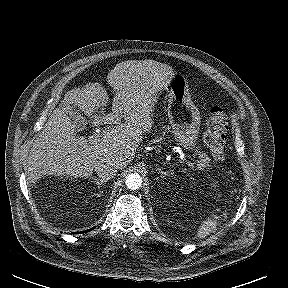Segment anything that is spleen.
<instances>
[{"instance_id": "spleen-1", "label": "spleen", "mask_w": 288, "mask_h": 288, "mask_svg": "<svg viewBox=\"0 0 288 288\" xmlns=\"http://www.w3.org/2000/svg\"><path fill=\"white\" fill-rule=\"evenodd\" d=\"M216 225H217V220L215 217L207 218L200 224L197 230L196 237L205 238L207 235H209L213 231Z\"/></svg>"}]
</instances>
